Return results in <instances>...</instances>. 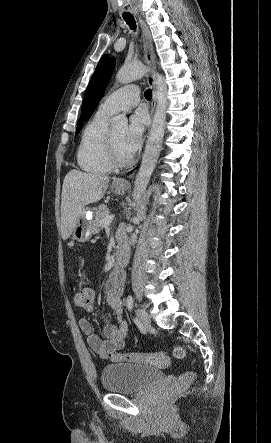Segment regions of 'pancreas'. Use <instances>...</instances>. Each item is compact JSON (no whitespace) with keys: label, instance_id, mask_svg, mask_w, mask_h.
<instances>
[{"label":"pancreas","instance_id":"pancreas-1","mask_svg":"<svg viewBox=\"0 0 271 443\" xmlns=\"http://www.w3.org/2000/svg\"><path fill=\"white\" fill-rule=\"evenodd\" d=\"M108 214L109 212L107 206H98L92 222V229L94 233H98V231H100L99 227H102L100 222L101 220H104V218H107Z\"/></svg>","mask_w":271,"mask_h":443}]
</instances>
